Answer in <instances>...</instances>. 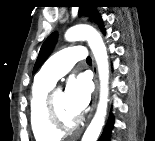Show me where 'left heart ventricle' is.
Listing matches in <instances>:
<instances>
[{"instance_id":"left-heart-ventricle-1","label":"left heart ventricle","mask_w":155,"mask_h":141,"mask_svg":"<svg viewBox=\"0 0 155 141\" xmlns=\"http://www.w3.org/2000/svg\"><path fill=\"white\" fill-rule=\"evenodd\" d=\"M54 105L55 108L60 115L61 119L65 123H70L74 119H76V115H74L69 109L65 101L64 93L57 91L54 95Z\"/></svg>"}]
</instances>
